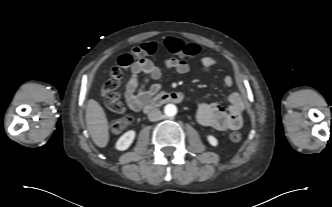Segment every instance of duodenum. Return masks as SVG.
<instances>
[{
  "label": "duodenum",
  "instance_id": "duodenum-1",
  "mask_svg": "<svg viewBox=\"0 0 332 207\" xmlns=\"http://www.w3.org/2000/svg\"><path fill=\"white\" fill-rule=\"evenodd\" d=\"M186 97L179 93V92H174V93H159L152 101H150L144 108L146 112L161 106L163 104L169 103V102H174V103H179L185 101Z\"/></svg>",
  "mask_w": 332,
  "mask_h": 207
}]
</instances>
